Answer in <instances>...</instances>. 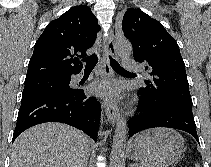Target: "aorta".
<instances>
[{
  "mask_svg": "<svg viewBox=\"0 0 211 167\" xmlns=\"http://www.w3.org/2000/svg\"><path fill=\"white\" fill-rule=\"evenodd\" d=\"M116 52L121 58L128 57L132 52L131 43L125 39L118 40L116 42ZM126 138L127 121L122 116H119L115 135L113 137V145L110 156V167H123Z\"/></svg>",
  "mask_w": 211,
  "mask_h": 167,
  "instance_id": "762f6f07",
  "label": "aorta"
}]
</instances>
